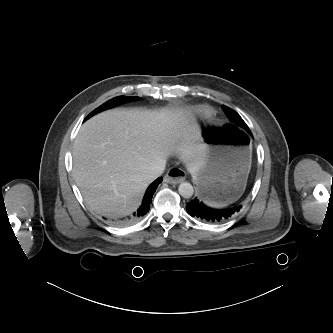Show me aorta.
I'll use <instances>...</instances> for the list:
<instances>
[{"instance_id":"aorta-1","label":"aorta","mask_w":333,"mask_h":333,"mask_svg":"<svg viewBox=\"0 0 333 333\" xmlns=\"http://www.w3.org/2000/svg\"><path fill=\"white\" fill-rule=\"evenodd\" d=\"M178 191L183 198H190L194 193L193 186L188 182L180 183Z\"/></svg>"}]
</instances>
